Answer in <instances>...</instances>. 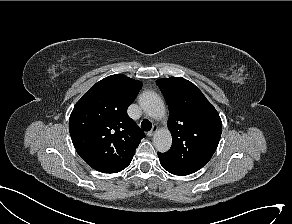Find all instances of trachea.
Instances as JSON below:
<instances>
[{
  "instance_id": "1",
  "label": "trachea",
  "mask_w": 292,
  "mask_h": 224,
  "mask_svg": "<svg viewBox=\"0 0 292 224\" xmlns=\"http://www.w3.org/2000/svg\"><path fill=\"white\" fill-rule=\"evenodd\" d=\"M141 128L144 130V131H149L151 130L152 128V123L147 120V119H144L141 123Z\"/></svg>"
}]
</instances>
